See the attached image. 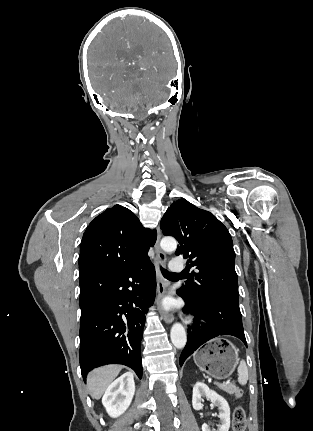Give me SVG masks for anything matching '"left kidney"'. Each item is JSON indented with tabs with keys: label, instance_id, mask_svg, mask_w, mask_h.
Returning <instances> with one entry per match:
<instances>
[{
	"label": "left kidney",
	"instance_id": "1",
	"mask_svg": "<svg viewBox=\"0 0 313 431\" xmlns=\"http://www.w3.org/2000/svg\"><path fill=\"white\" fill-rule=\"evenodd\" d=\"M204 397L210 399L213 404L218 406L219 418L221 425L218 431H229L230 428V407L228 402L215 391L210 390L209 387L202 383L197 382L193 387L192 406L195 410L203 408L202 402ZM202 431H211L207 424L202 425Z\"/></svg>",
	"mask_w": 313,
	"mask_h": 431
}]
</instances>
